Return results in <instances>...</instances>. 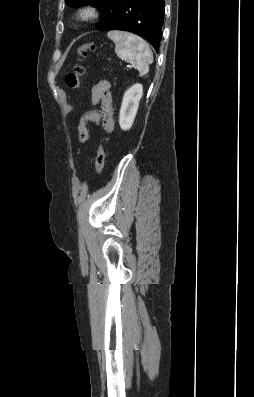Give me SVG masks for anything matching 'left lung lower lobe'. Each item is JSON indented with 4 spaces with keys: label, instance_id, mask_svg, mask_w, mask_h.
I'll use <instances>...</instances> for the list:
<instances>
[{
    "label": "left lung lower lobe",
    "instance_id": "left-lung-lower-lobe-1",
    "mask_svg": "<svg viewBox=\"0 0 254 397\" xmlns=\"http://www.w3.org/2000/svg\"><path fill=\"white\" fill-rule=\"evenodd\" d=\"M164 0H108L98 30H124L146 39L158 52Z\"/></svg>",
    "mask_w": 254,
    "mask_h": 397
}]
</instances>
